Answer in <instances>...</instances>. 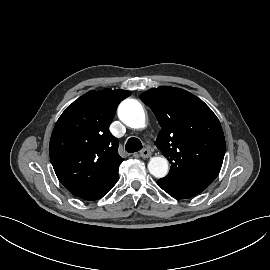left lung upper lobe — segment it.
I'll list each match as a JSON object with an SVG mask.
<instances>
[{
	"label": "left lung upper lobe",
	"instance_id": "left-lung-upper-lobe-1",
	"mask_svg": "<svg viewBox=\"0 0 270 270\" xmlns=\"http://www.w3.org/2000/svg\"><path fill=\"white\" fill-rule=\"evenodd\" d=\"M161 126L155 142L171 163L162 181L211 184L219 174L225 154V138L213 111L188 91L158 87L140 95Z\"/></svg>",
	"mask_w": 270,
	"mask_h": 270
}]
</instances>
